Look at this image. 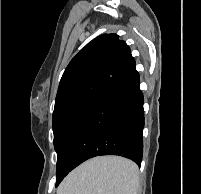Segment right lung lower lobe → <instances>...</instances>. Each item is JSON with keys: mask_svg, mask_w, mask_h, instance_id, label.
I'll list each match as a JSON object with an SVG mask.
<instances>
[{"mask_svg": "<svg viewBox=\"0 0 201 194\" xmlns=\"http://www.w3.org/2000/svg\"><path fill=\"white\" fill-rule=\"evenodd\" d=\"M143 127V94L135 70L96 96L67 125L56 150V187L72 169L94 156L119 155L140 166Z\"/></svg>", "mask_w": 201, "mask_h": 194, "instance_id": "right-lung-lower-lobe-1", "label": "right lung lower lobe"}]
</instances>
